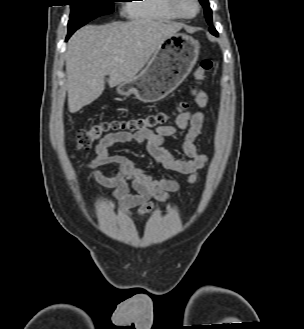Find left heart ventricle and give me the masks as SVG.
I'll list each match as a JSON object with an SVG mask.
<instances>
[{
  "mask_svg": "<svg viewBox=\"0 0 304 329\" xmlns=\"http://www.w3.org/2000/svg\"><path fill=\"white\" fill-rule=\"evenodd\" d=\"M180 6L182 11L186 14H193L196 9L192 0H180Z\"/></svg>",
  "mask_w": 304,
  "mask_h": 329,
  "instance_id": "b2bd125f",
  "label": "left heart ventricle"
}]
</instances>
